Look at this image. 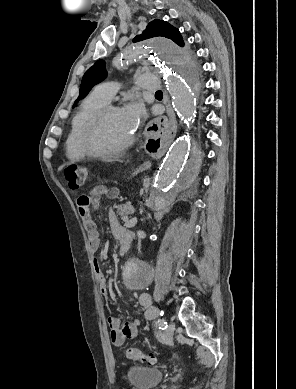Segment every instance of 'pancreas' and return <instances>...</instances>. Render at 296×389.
<instances>
[{
	"instance_id": "pancreas-1",
	"label": "pancreas",
	"mask_w": 296,
	"mask_h": 389,
	"mask_svg": "<svg viewBox=\"0 0 296 389\" xmlns=\"http://www.w3.org/2000/svg\"><path fill=\"white\" fill-rule=\"evenodd\" d=\"M135 209L130 203L119 205L117 207V213L124 222L128 221V215L134 213Z\"/></svg>"
}]
</instances>
